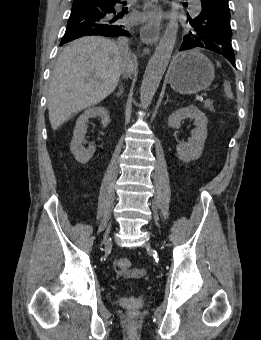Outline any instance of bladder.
<instances>
[{
	"mask_svg": "<svg viewBox=\"0 0 261 340\" xmlns=\"http://www.w3.org/2000/svg\"><path fill=\"white\" fill-rule=\"evenodd\" d=\"M130 288L131 289H135L136 288V285L134 283H130Z\"/></svg>",
	"mask_w": 261,
	"mask_h": 340,
	"instance_id": "obj_1",
	"label": "bladder"
}]
</instances>
